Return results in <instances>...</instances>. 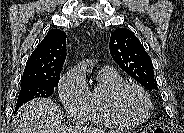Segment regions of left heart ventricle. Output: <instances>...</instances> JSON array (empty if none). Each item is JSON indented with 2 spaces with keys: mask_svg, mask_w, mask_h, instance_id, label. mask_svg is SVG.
<instances>
[{
  "mask_svg": "<svg viewBox=\"0 0 184 133\" xmlns=\"http://www.w3.org/2000/svg\"><path fill=\"white\" fill-rule=\"evenodd\" d=\"M123 112L132 119H141L147 112L144 97L137 90L126 91L121 100Z\"/></svg>",
  "mask_w": 184,
  "mask_h": 133,
  "instance_id": "1",
  "label": "left heart ventricle"
}]
</instances>
